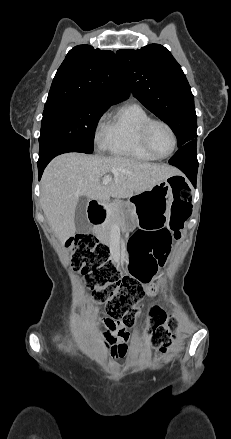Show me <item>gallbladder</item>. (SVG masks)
<instances>
[{
  "instance_id": "bac80fb5",
  "label": "gallbladder",
  "mask_w": 231,
  "mask_h": 439,
  "mask_svg": "<svg viewBox=\"0 0 231 439\" xmlns=\"http://www.w3.org/2000/svg\"><path fill=\"white\" fill-rule=\"evenodd\" d=\"M87 204H88V198L86 197L79 198L75 209V217H74L75 227L78 233H87L91 229L86 214Z\"/></svg>"
}]
</instances>
